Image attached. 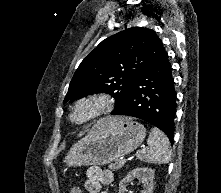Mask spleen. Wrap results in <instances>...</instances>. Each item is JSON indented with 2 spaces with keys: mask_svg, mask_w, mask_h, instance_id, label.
<instances>
[{
  "mask_svg": "<svg viewBox=\"0 0 221 193\" xmlns=\"http://www.w3.org/2000/svg\"><path fill=\"white\" fill-rule=\"evenodd\" d=\"M148 147L137 152V158L146 163L167 164L171 159L170 143L158 128H152L147 140Z\"/></svg>",
  "mask_w": 221,
  "mask_h": 193,
  "instance_id": "3e777b00",
  "label": "spleen"
}]
</instances>
